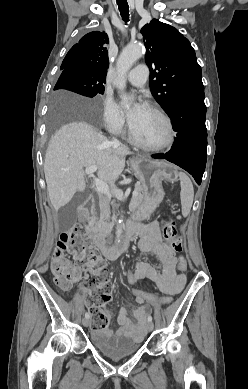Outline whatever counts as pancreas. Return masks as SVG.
Returning <instances> with one entry per match:
<instances>
[{
  "instance_id": "1",
  "label": "pancreas",
  "mask_w": 248,
  "mask_h": 389,
  "mask_svg": "<svg viewBox=\"0 0 248 389\" xmlns=\"http://www.w3.org/2000/svg\"><path fill=\"white\" fill-rule=\"evenodd\" d=\"M144 187L142 184H136L135 185V191L137 192L136 196L132 197L131 203H130V208L132 210H136L137 208L140 207L142 200H143V192H144ZM95 232L101 236L105 237L109 230H110V225L105 221L104 216L100 214L98 218V222L96 223L94 227Z\"/></svg>"
}]
</instances>
